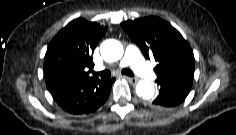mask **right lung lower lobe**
Instances as JSON below:
<instances>
[{
	"mask_svg": "<svg viewBox=\"0 0 236 135\" xmlns=\"http://www.w3.org/2000/svg\"><path fill=\"white\" fill-rule=\"evenodd\" d=\"M115 78L79 79L60 76L46 82L58 105L73 115H84L100 108L108 99Z\"/></svg>",
	"mask_w": 236,
	"mask_h": 135,
	"instance_id": "right-lung-lower-lobe-1",
	"label": "right lung lower lobe"
}]
</instances>
